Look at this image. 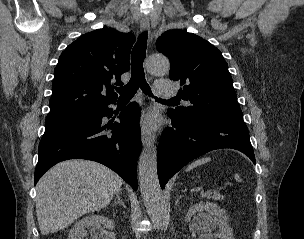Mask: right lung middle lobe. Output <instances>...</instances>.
<instances>
[{
  "label": "right lung middle lobe",
  "instance_id": "right-lung-middle-lobe-1",
  "mask_svg": "<svg viewBox=\"0 0 304 239\" xmlns=\"http://www.w3.org/2000/svg\"><path fill=\"white\" fill-rule=\"evenodd\" d=\"M83 115H85V114H83ZM83 115H79V116H83ZM79 116H77V117H79Z\"/></svg>",
  "mask_w": 304,
  "mask_h": 239
}]
</instances>
